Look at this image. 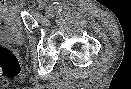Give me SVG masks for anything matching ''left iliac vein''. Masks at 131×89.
I'll return each instance as SVG.
<instances>
[{"mask_svg": "<svg viewBox=\"0 0 131 89\" xmlns=\"http://www.w3.org/2000/svg\"><path fill=\"white\" fill-rule=\"evenodd\" d=\"M46 16L50 17L53 14V8L51 6H48L46 8Z\"/></svg>", "mask_w": 131, "mask_h": 89, "instance_id": "obj_1", "label": "left iliac vein"}]
</instances>
